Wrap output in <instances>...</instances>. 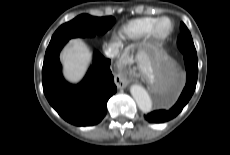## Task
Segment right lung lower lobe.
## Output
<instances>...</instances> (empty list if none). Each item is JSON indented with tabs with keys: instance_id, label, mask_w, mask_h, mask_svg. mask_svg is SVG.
Here are the masks:
<instances>
[{
	"instance_id": "right-lung-lower-lobe-1",
	"label": "right lung lower lobe",
	"mask_w": 230,
	"mask_h": 155,
	"mask_svg": "<svg viewBox=\"0 0 230 155\" xmlns=\"http://www.w3.org/2000/svg\"><path fill=\"white\" fill-rule=\"evenodd\" d=\"M66 43L48 47L42 68L44 94L50 105L67 122L76 126L99 123L107 112V101L117 87L109 59L94 53V62L78 85L67 83L61 73L59 53Z\"/></svg>"
}]
</instances>
